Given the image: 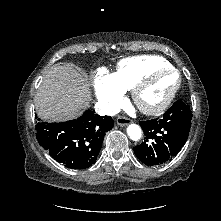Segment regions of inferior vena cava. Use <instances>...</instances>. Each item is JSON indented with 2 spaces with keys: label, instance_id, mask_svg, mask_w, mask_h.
Listing matches in <instances>:
<instances>
[{
  "label": "inferior vena cava",
  "instance_id": "obj_1",
  "mask_svg": "<svg viewBox=\"0 0 221 221\" xmlns=\"http://www.w3.org/2000/svg\"><path fill=\"white\" fill-rule=\"evenodd\" d=\"M95 109H96V112L102 116L103 115L114 116L119 112V108L112 106L108 103L101 102V101L96 103Z\"/></svg>",
  "mask_w": 221,
  "mask_h": 221
}]
</instances>
